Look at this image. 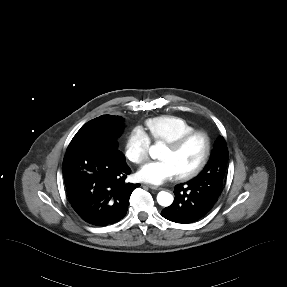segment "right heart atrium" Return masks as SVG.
I'll list each match as a JSON object with an SVG mask.
<instances>
[{
	"mask_svg": "<svg viewBox=\"0 0 287 287\" xmlns=\"http://www.w3.org/2000/svg\"><path fill=\"white\" fill-rule=\"evenodd\" d=\"M150 139L140 128H133L125 140L124 153L126 158L134 164H142L148 159Z\"/></svg>",
	"mask_w": 287,
	"mask_h": 287,
	"instance_id": "d8ad5b80",
	"label": "right heart atrium"
}]
</instances>
